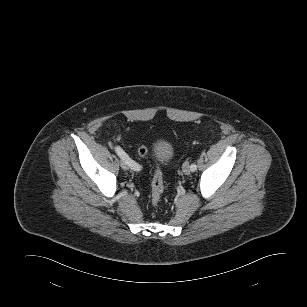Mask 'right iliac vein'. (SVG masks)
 <instances>
[{"instance_id": "63e3f726", "label": "right iliac vein", "mask_w": 307, "mask_h": 307, "mask_svg": "<svg viewBox=\"0 0 307 307\" xmlns=\"http://www.w3.org/2000/svg\"><path fill=\"white\" fill-rule=\"evenodd\" d=\"M120 166L123 170H128L129 169V166L126 164L125 161L121 160L120 161Z\"/></svg>"}]
</instances>
